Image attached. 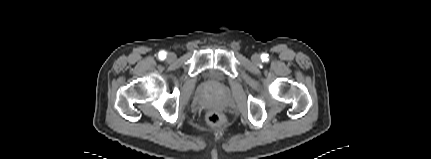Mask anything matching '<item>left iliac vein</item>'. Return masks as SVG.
Wrapping results in <instances>:
<instances>
[{
  "label": "left iliac vein",
  "instance_id": "left-iliac-vein-1",
  "mask_svg": "<svg viewBox=\"0 0 431 159\" xmlns=\"http://www.w3.org/2000/svg\"><path fill=\"white\" fill-rule=\"evenodd\" d=\"M251 59L254 63H257L259 61V56L257 54H254L252 55Z\"/></svg>",
  "mask_w": 431,
  "mask_h": 159
}]
</instances>
